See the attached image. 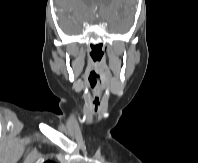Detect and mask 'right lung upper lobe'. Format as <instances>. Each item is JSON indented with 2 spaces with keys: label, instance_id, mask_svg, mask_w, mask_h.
Returning a JSON list of instances; mask_svg holds the SVG:
<instances>
[{
  "label": "right lung upper lobe",
  "instance_id": "cb5924a9",
  "mask_svg": "<svg viewBox=\"0 0 198 163\" xmlns=\"http://www.w3.org/2000/svg\"><path fill=\"white\" fill-rule=\"evenodd\" d=\"M45 163H55V162H52V161H46Z\"/></svg>",
  "mask_w": 198,
  "mask_h": 163
}]
</instances>
